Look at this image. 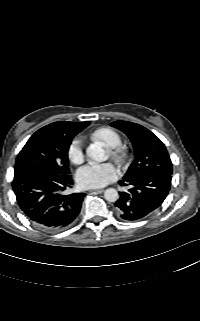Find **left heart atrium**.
<instances>
[{
	"mask_svg": "<svg viewBox=\"0 0 200 321\" xmlns=\"http://www.w3.org/2000/svg\"><path fill=\"white\" fill-rule=\"evenodd\" d=\"M117 178V171L110 163H92L77 173V181L83 188H100Z\"/></svg>",
	"mask_w": 200,
	"mask_h": 321,
	"instance_id": "1",
	"label": "left heart atrium"
}]
</instances>
